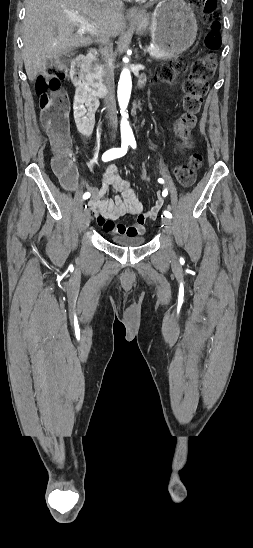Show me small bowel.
Instances as JSON below:
<instances>
[{
  "label": "small bowel",
  "instance_id": "obj_1",
  "mask_svg": "<svg viewBox=\"0 0 253 548\" xmlns=\"http://www.w3.org/2000/svg\"><path fill=\"white\" fill-rule=\"evenodd\" d=\"M99 101L84 91L77 89L73 98V120L77 131L86 138L91 137L95 128L96 113ZM73 174L68 178H61L63 187L67 190H77L80 187L77 169L73 166ZM91 199L88 202L97 223L107 233L140 235L145 232V222L155 217L163 205L159 199L155 206L145 211L143 205L132 189L129 181L124 178L113 163L103 171L101 183L98 187H89ZM89 192V193H90ZM111 192L116 193L113 198L108 197ZM136 216L134 225L114 222L126 215Z\"/></svg>",
  "mask_w": 253,
  "mask_h": 548
}]
</instances>
